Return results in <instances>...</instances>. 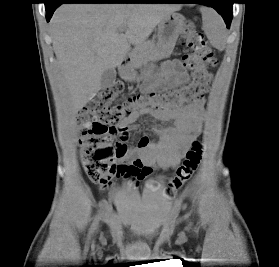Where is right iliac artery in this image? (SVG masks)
<instances>
[{
  "mask_svg": "<svg viewBox=\"0 0 279 267\" xmlns=\"http://www.w3.org/2000/svg\"><path fill=\"white\" fill-rule=\"evenodd\" d=\"M100 220V215H97L94 219V222L90 228V231H89V237H91V235L93 234L94 230L96 229L97 225H98V222Z\"/></svg>",
  "mask_w": 279,
  "mask_h": 267,
  "instance_id": "right-iliac-artery-1",
  "label": "right iliac artery"
}]
</instances>
